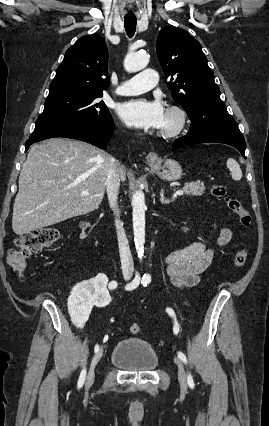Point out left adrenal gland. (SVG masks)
<instances>
[{
    "mask_svg": "<svg viewBox=\"0 0 269 426\" xmlns=\"http://www.w3.org/2000/svg\"><path fill=\"white\" fill-rule=\"evenodd\" d=\"M174 200L173 199H166L165 197H164V189H162L161 190V192H160V202L162 203V204H169V203H171V202H173Z\"/></svg>",
    "mask_w": 269,
    "mask_h": 426,
    "instance_id": "a2214340",
    "label": "left adrenal gland"
}]
</instances>
